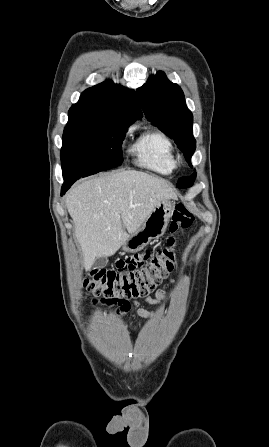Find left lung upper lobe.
<instances>
[{
    "label": "left lung upper lobe",
    "mask_w": 269,
    "mask_h": 447,
    "mask_svg": "<svg viewBox=\"0 0 269 447\" xmlns=\"http://www.w3.org/2000/svg\"><path fill=\"white\" fill-rule=\"evenodd\" d=\"M137 95L148 120L174 139L189 166L193 167L190 162L196 148L192 134L193 115L185 104L181 88L159 71L137 90ZM195 178L196 172L191 176L181 177L177 187H190Z\"/></svg>",
    "instance_id": "left-lung-upper-lobe-1"
}]
</instances>
